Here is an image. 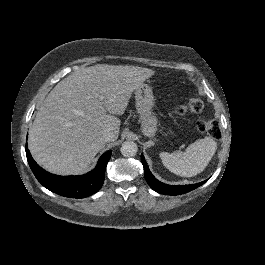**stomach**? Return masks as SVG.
I'll use <instances>...</instances> for the list:
<instances>
[{
	"instance_id": "0dacf381",
	"label": "stomach",
	"mask_w": 265,
	"mask_h": 265,
	"mask_svg": "<svg viewBox=\"0 0 265 265\" xmlns=\"http://www.w3.org/2000/svg\"><path fill=\"white\" fill-rule=\"evenodd\" d=\"M136 109L140 115L142 133L147 137H154L157 132V117L152 114L154 96L152 88L142 83L134 90Z\"/></svg>"
}]
</instances>
